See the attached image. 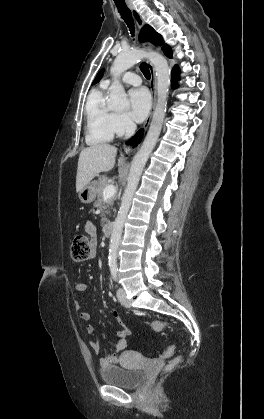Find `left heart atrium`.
Returning <instances> with one entry per match:
<instances>
[{"label":"left heart atrium","instance_id":"obj_1","mask_svg":"<svg viewBox=\"0 0 264 419\" xmlns=\"http://www.w3.org/2000/svg\"><path fill=\"white\" fill-rule=\"evenodd\" d=\"M130 110L133 119L142 122L149 114L151 107L150 95L146 89H133L129 93Z\"/></svg>","mask_w":264,"mask_h":419}]
</instances>
